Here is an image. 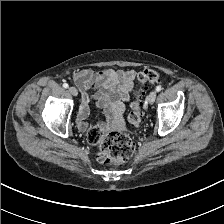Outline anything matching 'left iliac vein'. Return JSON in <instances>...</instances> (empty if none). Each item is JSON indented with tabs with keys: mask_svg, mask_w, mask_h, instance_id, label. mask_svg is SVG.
I'll return each instance as SVG.
<instances>
[{
	"mask_svg": "<svg viewBox=\"0 0 224 224\" xmlns=\"http://www.w3.org/2000/svg\"><path fill=\"white\" fill-rule=\"evenodd\" d=\"M156 96H157V92H156L155 90L151 91V92L149 93L148 97H147L148 102H149L150 104H153L154 101H155V99H156Z\"/></svg>",
	"mask_w": 224,
	"mask_h": 224,
	"instance_id": "1",
	"label": "left iliac vein"
}]
</instances>
